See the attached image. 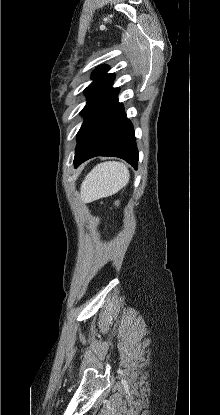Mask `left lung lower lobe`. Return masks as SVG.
<instances>
[{
	"mask_svg": "<svg viewBox=\"0 0 220 415\" xmlns=\"http://www.w3.org/2000/svg\"><path fill=\"white\" fill-rule=\"evenodd\" d=\"M119 88L111 84L99 95L84 115L77 134L74 165L96 156L119 157L137 169L138 150L132 123L118 103Z\"/></svg>",
	"mask_w": 220,
	"mask_h": 415,
	"instance_id": "0a47b994",
	"label": "left lung lower lobe"
}]
</instances>
